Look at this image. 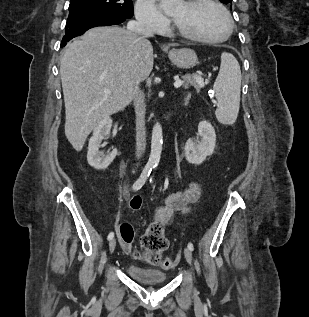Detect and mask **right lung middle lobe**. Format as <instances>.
Masks as SVG:
<instances>
[{
    "instance_id": "right-lung-middle-lobe-1",
    "label": "right lung middle lobe",
    "mask_w": 309,
    "mask_h": 317,
    "mask_svg": "<svg viewBox=\"0 0 309 317\" xmlns=\"http://www.w3.org/2000/svg\"><path fill=\"white\" fill-rule=\"evenodd\" d=\"M101 12L129 19L133 16L131 0H71L69 13Z\"/></svg>"
}]
</instances>
